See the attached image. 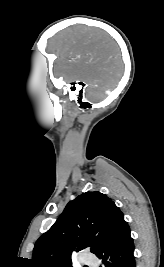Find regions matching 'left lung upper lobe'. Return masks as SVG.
<instances>
[{
    "label": "left lung upper lobe",
    "instance_id": "5c2ea615",
    "mask_svg": "<svg viewBox=\"0 0 164 267\" xmlns=\"http://www.w3.org/2000/svg\"><path fill=\"white\" fill-rule=\"evenodd\" d=\"M124 223L123 213L105 194L83 193L37 240L30 266L71 267L74 251L89 249L97 255Z\"/></svg>",
    "mask_w": 164,
    "mask_h": 267
}]
</instances>
